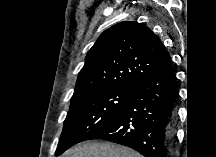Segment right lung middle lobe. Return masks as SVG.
I'll use <instances>...</instances> for the list:
<instances>
[{"label":"right lung middle lobe","mask_w":216,"mask_h":157,"mask_svg":"<svg viewBox=\"0 0 216 157\" xmlns=\"http://www.w3.org/2000/svg\"><path fill=\"white\" fill-rule=\"evenodd\" d=\"M131 90L123 86L93 91L71 101L56 155L107 127L126 106Z\"/></svg>","instance_id":"dd1d6c3e"}]
</instances>
